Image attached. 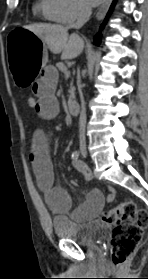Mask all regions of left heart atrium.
Instances as JSON below:
<instances>
[{"label":"left heart atrium","instance_id":"1","mask_svg":"<svg viewBox=\"0 0 148 279\" xmlns=\"http://www.w3.org/2000/svg\"><path fill=\"white\" fill-rule=\"evenodd\" d=\"M102 0H83V2L86 4V5H91V6H94V5H97L101 2Z\"/></svg>","mask_w":148,"mask_h":279}]
</instances>
